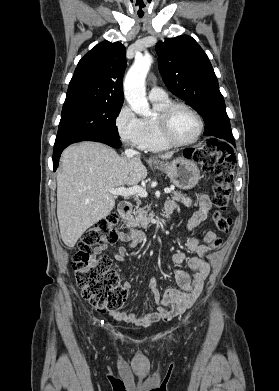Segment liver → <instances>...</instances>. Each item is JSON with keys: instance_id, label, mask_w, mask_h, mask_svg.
I'll use <instances>...</instances> for the list:
<instances>
[{"instance_id": "1", "label": "liver", "mask_w": 279, "mask_h": 391, "mask_svg": "<svg viewBox=\"0 0 279 391\" xmlns=\"http://www.w3.org/2000/svg\"><path fill=\"white\" fill-rule=\"evenodd\" d=\"M172 152L159 156L170 159ZM147 176L140 157H121L112 148L85 141L66 148L57 174V217L68 247L115 207L108 189L136 185Z\"/></svg>"}]
</instances>
